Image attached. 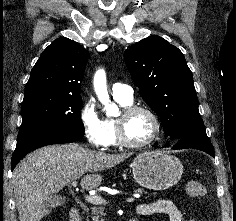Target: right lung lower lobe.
I'll list each match as a JSON object with an SVG mask.
<instances>
[{
  "mask_svg": "<svg viewBox=\"0 0 236 221\" xmlns=\"http://www.w3.org/2000/svg\"><path fill=\"white\" fill-rule=\"evenodd\" d=\"M83 133L54 127H35L19 133L12 155L11 170L29 152L46 145L71 143L80 140Z\"/></svg>",
  "mask_w": 236,
  "mask_h": 221,
  "instance_id": "right-lung-lower-lobe-1",
  "label": "right lung lower lobe"
}]
</instances>
